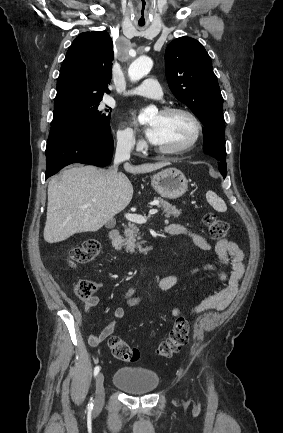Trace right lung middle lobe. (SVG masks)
<instances>
[{"label":"right lung middle lobe","mask_w":283,"mask_h":433,"mask_svg":"<svg viewBox=\"0 0 283 433\" xmlns=\"http://www.w3.org/2000/svg\"><path fill=\"white\" fill-rule=\"evenodd\" d=\"M102 100L75 105L60 111L54 112L51 127L85 125L94 126L104 132H110V115L109 109H101Z\"/></svg>","instance_id":"dd1d6c3e"}]
</instances>
